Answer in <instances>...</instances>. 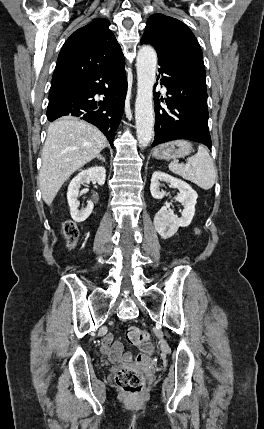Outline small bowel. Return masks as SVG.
<instances>
[{
  "label": "small bowel",
  "mask_w": 264,
  "mask_h": 429,
  "mask_svg": "<svg viewBox=\"0 0 264 429\" xmlns=\"http://www.w3.org/2000/svg\"><path fill=\"white\" fill-rule=\"evenodd\" d=\"M141 350L144 354H149L152 351V346L146 344L141 346ZM101 351L107 355L110 359L114 361H121L123 363L132 362V355L129 353L123 354V345L121 342H113V337L111 334H107L101 343Z\"/></svg>",
  "instance_id": "1"
}]
</instances>
